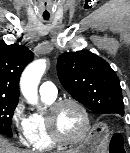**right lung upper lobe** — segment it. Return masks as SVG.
I'll use <instances>...</instances> for the list:
<instances>
[{
    "instance_id": "1",
    "label": "right lung upper lobe",
    "mask_w": 130,
    "mask_h": 153,
    "mask_svg": "<svg viewBox=\"0 0 130 153\" xmlns=\"http://www.w3.org/2000/svg\"><path fill=\"white\" fill-rule=\"evenodd\" d=\"M33 57L24 45L0 42V98L18 101L20 75Z\"/></svg>"
}]
</instances>
